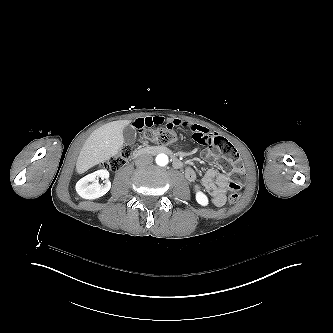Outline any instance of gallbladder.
<instances>
[{
    "label": "gallbladder",
    "mask_w": 333,
    "mask_h": 333,
    "mask_svg": "<svg viewBox=\"0 0 333 333\" xmlns=\"http://www.w3.org/2000/svg\"><path fill=\"white\" fill-rule=\"evenodd\" d=\"M124 142L128 145H131L135 142L136 139V130L131 125L124 127L123 129Z\"/></svg>",
    "instance_id": "1"
}]
</instances>
